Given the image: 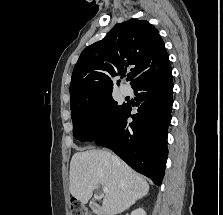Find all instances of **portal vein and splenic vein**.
Masks as SVG:
<instances>
[{
    "label": "portal vein and splenic vein",
    "instance_id": "18ae733b",
    "mask_svg": "<svg viewBox=\"0 0 223 215\" xmlns=\"http://www.w3.org/2000/svg\"><path fill=\"white\" fill-rule=\"evenodd\" d=\"M103 191H104V193H108V191H109L108 187H103Z\"/></svg>",
    "mask_w": 223,
    "mask_h": 215
}]
</instances>
